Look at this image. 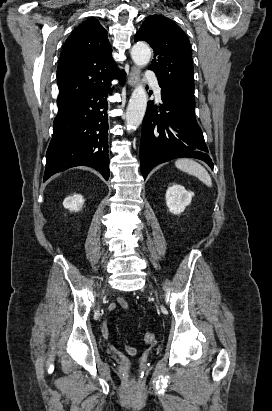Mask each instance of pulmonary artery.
<instances>
[{"label":"pulmonary artery","instance_id":"pulmonary-artery-1","mask_svg":"<svg viewBox=\"0 0 272 411\" xmlns=\"http://www.w3.org/2000/svg\"><path fill=\"white\" fill-rule=\"evenodd\" d=\"M145 79L148 80V81L153 82V87H154L155 93H156L157 96H160V91H161V90H160L159 85H158L157 82H156L155 72L152 71V70L146 71V73H145Z\"/></svg>","mask_w":272,"mask_h":411}]
</instances>
